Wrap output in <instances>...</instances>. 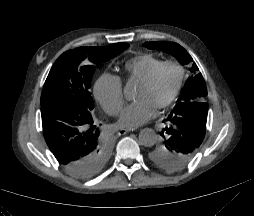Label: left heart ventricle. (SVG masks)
<instances>
[{"mask_svg": "<svg viewBox=\"0 0 254 216\" xmlns=\"http://www.w3.org/2000/svg\"><path fill=\"white\" fill-rule=\"evenodd\" d=\"M177 79V72L172 67L165 68L158 76L155 83L150 87H144L139 84L135 98L146 99L156 108L164 102L171 94Z\"/></svg>", "mask_w": 254, "mask_h": 216, "instance_id": "left-heart-ventricle-1", "label": "left heart ventricle"}]
</instances>
